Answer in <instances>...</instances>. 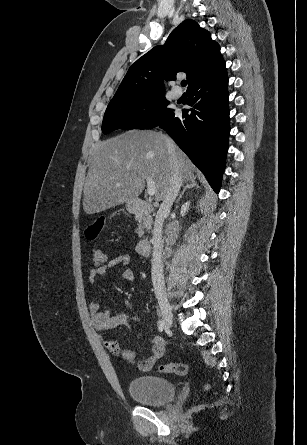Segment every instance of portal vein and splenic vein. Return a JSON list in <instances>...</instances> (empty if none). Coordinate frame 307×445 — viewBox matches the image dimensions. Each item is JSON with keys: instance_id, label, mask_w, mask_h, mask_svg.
Here are the masks:
<instances>
[{"instance_id": "portal-vein-and-splenic-vein-1", "label": "portal vein and splenic vein", "mask_w": 307, "mask_h": 445, "mask_svg": "<svg viewBox=\"0 0 307 445\" xmlns=\"http://www.w3.org/2000/svg\"><path fill=\"white\" fill-rule=\"evenodd\" d=\"M147 180V192L149 196H153L156 192V184L153 182L152 178H146Z\"/></svg>"}]
</instances>
